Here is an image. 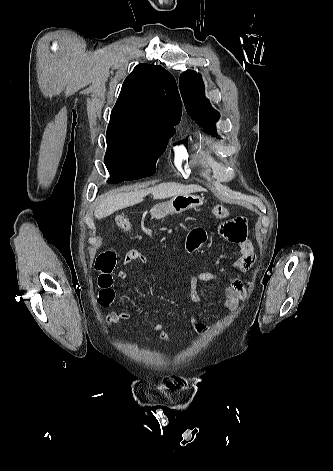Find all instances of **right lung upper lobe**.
<instances>
[{
  "label": "right lung upper lobe",
  "mask_w": 333,
  "mask_h": 471,
  "mask_svg": "<svg viewBox=\"0 0 333 471\" xmlns=\"http://www.w3.org/2000/svg\"><path fill=\"white\" fill-rule=\"evenodd\" d=\"M180 117L181 99L174 77L160 65L141 63L125 79L110 122L174 132Z\"/></svg>",
  "instance_id": "obj_1"
}]
</instances>
